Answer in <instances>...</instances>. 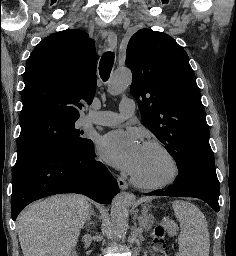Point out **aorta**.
Wrapping results in <instances>:
<instances>
[{
  "label": "aorta",
  "mask_w": 236,
  "mask_h": 256,
  "mask_svg": "<svg viewBox=\"0 0 236 256\" xmlns=\"http://www.w3.org/2000/svg\"><path fill=\"white\" fill-rule=\"evenodd\" d=\"M132 82V73L127 68H122L113 74L108 85L111 95L122 93ZM131 197L127 192H121L114 197L111 207V221L115 233L125 237L128 230V216Z\"/></svg>",
  "instance_id": "obj_1"
}]
</instances>
